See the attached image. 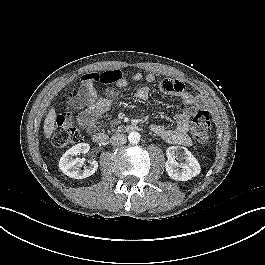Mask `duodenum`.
Segmentation results:
<instances>
[{"instance_id": "obj_1", "label": "duodenum", "mask_w": 265, "mask_h": 265, "mask_svg": "<svg viewBox=\"0 0 265 265\" xmlns=\"http://www.w3.org/2000/svg\"><path fill=\"white\" fill-rule=\"evenodd\" d=\"M127 131H139L141 130V126L138 124H129L126 126ZM92 140L96 144L104 145L108 138L104 133L95 132L92 134Z\"/></svg>"}]
</instances>
